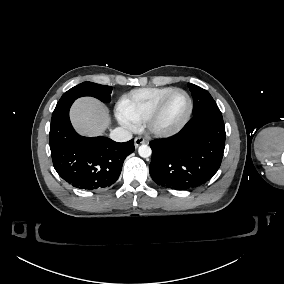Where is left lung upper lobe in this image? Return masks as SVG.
Listing matches in <instances>:
<instances>
[{
	"label": "left lung upper lobe",
	"instance_id": "1",
	"mask_svg": "<svg viewBox=\"0 0 284 284\" xmlns=\"http://www.w3.org/2000/svg\"><path fill=\"white\" fill-rule=\"evenodd\" d=\"M188 87L194 100L193 115L209 109H218L216 102L208 91L191 83H188Z\"/></svg>",
	"mask_w": 284,
	"mask_h": 284
}]
</instances>
